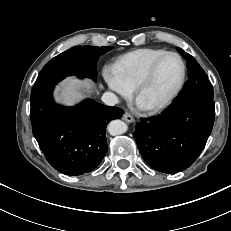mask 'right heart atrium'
Returning <instances> with one entry per match:
<instances>
[{"instance_id": "d8ad5b80", "label": "right heart atrium", "mask_w": 231, "mask_h": 231, "mask_svg": "<svg viewBox=\"0 0 231 231\" xmlns=\"http://www.w3.org/2000/svg\"><path fill=\"white\" fill-rule=\"evenodd\" d=\"M103 78L110 90L113 92L122 95L128 96L131 92V89L126 86L114 73L111 67H105L103 69Z\"/></svg>"}]
</instances>
